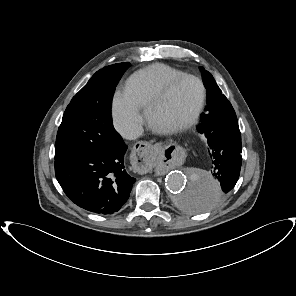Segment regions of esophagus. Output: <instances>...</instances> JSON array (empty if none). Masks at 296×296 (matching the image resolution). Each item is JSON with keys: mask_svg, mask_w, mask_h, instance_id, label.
Listing matches in <instances>:
<instances>
[{"mask_svg": "<svg viewBox=\"0 0 296 296\" xmlns=\"http://www.w3.org/2000/svg\"><path fill=\"white\" fill-rule=\"evenodd\" d=\"M158 153L152 143L136 142L131 149V164L134 171L141 176L147 175L157 161Z\"/></svg>", "mask_w": 296, "mask_h": 296, "instance_id": "1", "label": "esophagus"}]
</instances>
